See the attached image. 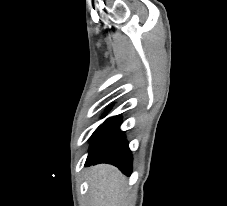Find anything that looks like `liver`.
<instances>
[{"label":"liver","instance_id":"1","mask_svg":"<svg viewBox=\"0 0 227 206\" xmlns=\"http://www.w3.org/2000/svg\"><path fill=\"white\" fill-rule=\"evenodd\" d=\"M125 178L112 165L93 167L89 176V193L92 206H123Z\"/></svg>","mask_w":227,"mask_h":206}]
</instances>
